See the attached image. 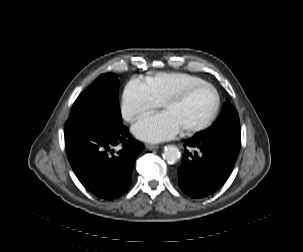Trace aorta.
Masks as SVG:
<instances>
[{
  "label": "aorta",
  "instance_id": "aorta-1",
  "mask_svg": "<svg viewBox=\"0 0 303 252\" xmlns=\"http://www.w3.org/2000/svg\"><path fill=\"white\" fill-rule=\"evenodd\" d=\"M163 158L170 164L177 162L180 158V151L174 145H168L163 150Z\"/></svg>",
  "mask_w": 303,
  "mask_h": 252
}]
</instances>
